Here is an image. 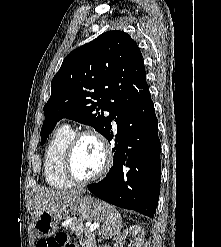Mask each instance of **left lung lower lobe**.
I'll use <instances>...</instances> for the list:
<instances>
[{"label":"left lung lower lobe","mask_w":221,"mask_h":247,"mask_svg":"<svg viewBox=\"0 0 221 247\" xmlns=\"http://www.w3.org/2000/svg\"><path fill=\"white\" fill-rule=\"evenodd\" d=\"M112 120L117 124L113 166L88 189L108 203L153 218L160 192L161 149L151 97L119 108ZM105 137L113 139L112 125ZM123 166L131 168L126 181Z\"/></svg>","instance_id":"1"}]
</instances>
